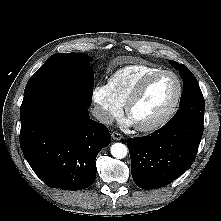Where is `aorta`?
<instances>
[{
    "mask_svg": "<svg viewBox=\"0 0 221 221\" xmlns=\"http://www.w3.org/2000/svg\"><path fill=\"white\" fill-rule=\"evenodd\" d=\"M110 150L111 155L117 159L125 158L128 153V148L122 143H114Z\"/></svg>",
    "mask_w": 221,
    "mask_h": 221,
    "instance_id": "obj_1",
    "label": "aorta"
}]
</instances>
